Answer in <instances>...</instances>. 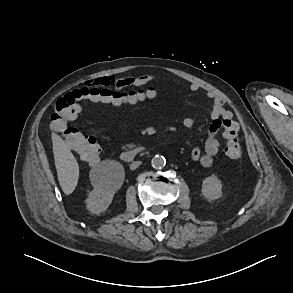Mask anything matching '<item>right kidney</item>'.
Returning <instances> with one entry per match:
<instances>
[{
  "instance_id": "right-kidney-1",
  "label": "right kidney",
  "mask_w": 293,
  "mask_h": 293,
  "mask_svg": "<svg viewBox=\"0 0 293 293\" xmlns=\"http://www.w3.org/2000/svg\"><path fill=\"white\" fill-rule=\"evenodd\" d=\"M107 166V177L94 183V189L86 200L87 209L99 215L107 210L113 200L114 193L120 189L124 181V168L117 161H104Z\"/></svg>"
}]
</instances>
